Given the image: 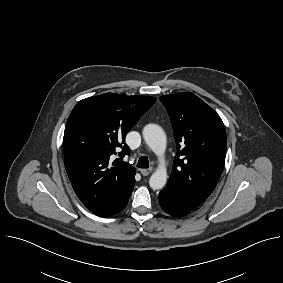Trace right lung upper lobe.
<instances>
[{
    "label": "right lung upper lobe",
    "mask_w": 283,
    "mask_h": 283,
    "mask_svg": "<svg viewBox=\"0 0 283 283\" xmlns=\"http://www.w3.org/2000/svg\"><path fill=\"white\" fill-rule=\"evenodd\" d=\"M156 102L149 96L105 93L79 101L64 132L65 168L81 202L98 216L115 214L130 198L135 169L115 159L129 154L127 132Z\"/></svg>",
    "instance_id": "1"
}]
</instances>
